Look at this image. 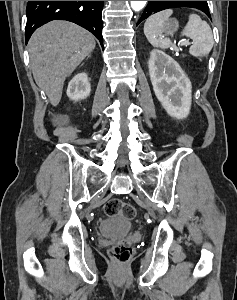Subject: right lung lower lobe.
Here are the masks:
<instances>
[{"label":"right lung lower lobe","instance_id":"98d812e1","mask_svg":"<svg viewBox=\"0 0 237 300\" xmlns=\"http://www.w3.org/2000/svg\"><path fill=\"white\" fill-rule=\"evenodd\" d=\"M104 1H28L26 43L32 33L52 20L74 22L93 33L103 46L102 9Z\"/></svg>","mask_w":237,"mask_h":300}]
</instances>
